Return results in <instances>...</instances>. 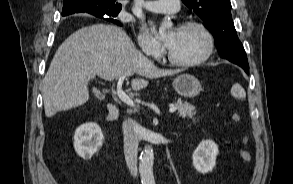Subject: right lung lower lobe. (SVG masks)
<instances>
[{
    "mask_svg": "<svg viewBox=\"0 0 293 184\" xmlns=\"http://www.w3.org/2000/svg\"><path fill=\"white\" fill-rule=\"evenodd\" d=\"M109 21V20H108ZM111 22H114V23H116L117 25H121V23L120 22H118V21H111Z\"/></svg>",
    "mask_w": 293,
    "mask_h": 184,
    "instance_id": "98d812e1",
    "label": "right lung lower lobe"
}]
</instances>
